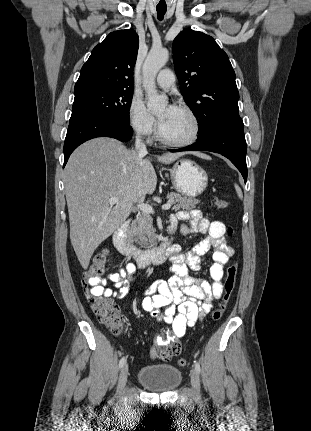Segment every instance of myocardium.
I'll return each instance as SVG.
<instances>
[{
    "mask_svg": "<svg viewBox=\"0 0 311 431\" xmlns=\"http://www.w3.org/2000/svg\"><path fill=\"white\" fill-rule=\"evenodd\" d=\"M178 109L185 111L186 113H188L194 120L195 122V133L194 135L186 141H175V140H169L166 139L162 133V129H161V124L158 123V128H157V138L158 140L166 145V146H170V147H177V148H183V147H189L193 144H195L198 139L200 138V135L202 133V122L201 119L199 117V115L197 114V112L191 108L190 106L186 105V104H182L180 106H178Z\"/></svg>",
    "mask_w": 311,
    "mask_h": 431,
    "instance_id": "myocardium-1",
    "label": "myocardium"
}]
</instances>
